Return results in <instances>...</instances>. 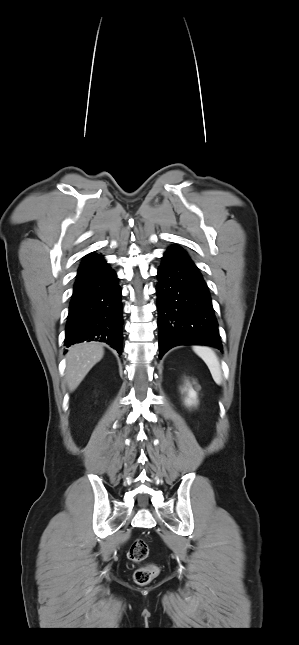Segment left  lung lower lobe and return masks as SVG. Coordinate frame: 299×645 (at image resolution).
<instances>
[{
	"label": "left lung lower lobe",
	"mask_w": 299,
	"mask_h": 645,
	"mask_svg": "<svg viewBox=\"0 0 299 645\" xmlns=\"http://www.w3.org/2000/svg\"><path fill=\"white\" fill-rule=\"evenodd\" d=\"M159 358L179 345H208L222 350L208 286L179 246L164 253L158 269Z\"/></svg>",
	"instance_id": "left-lung-lower-lobe-1"
}]
</instances>
